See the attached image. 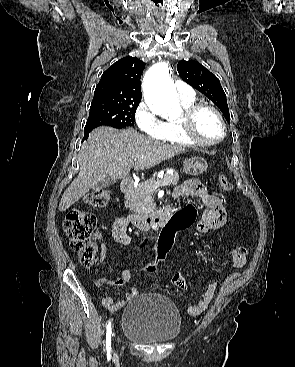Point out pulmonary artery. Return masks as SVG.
<instances>
[{"instance_id": "obj_1", "label": "pulmonary artery", "mask_w": 295, "mask_h": 367, "mask_svg": "<svg viewBox=\"0 0 295 367\" xmlns=\"http://www.w3.org/2000/svg\"><path fill=\"white\" fill-rule=\"evenodd\" d=\"M175 86H176L179 98L182 101H189V100L194 99L195 93L191 86L179 80L176 81Z\"/></svg>"}]
</instances>
